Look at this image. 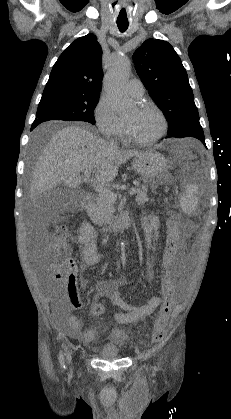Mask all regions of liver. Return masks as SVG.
<instances>
[{
	"instance_id": "liver-1",
	"label": "liver",
	"mask_w": 231,
	"mask_h": 419,
	"mask_svg": "<svg viewBox=\"0 0 231 419\" xmlns=\"http://www.w3.org/2000/svg\"><path fill=\"white\" fill-rule=\"evenodd\" d=\"M141 153L112 149L87 128L64 127L52 135L36 163L30 197L34 200L57 185L76 188L82 180L80 172L86 169L94 171L99 183L112 182L119 166Z\"/></svg>"
}]
</instances>
